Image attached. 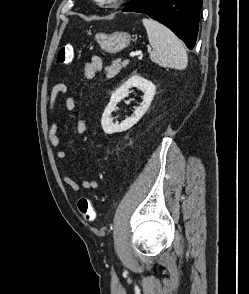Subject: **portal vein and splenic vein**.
<instances>
[{
	"label": "portal vein and splenic vein",
	"instance_id": "18ae733b",
	"mask_svg": "<svg viewBox=\"0 0 249 294\" xmlns=\"http://www.w3.org/2000/svg\"><path fill=\"white\" fill-rule=\"evenodd\" d=\"M136 55L142 56V52H138V53H136V52H131V53L129 54L130 57H135Z\"/></svg>",
	"mask_w": 249,
	"mask_h": 294
}]
</instances>
